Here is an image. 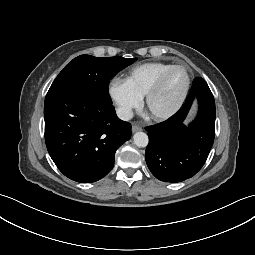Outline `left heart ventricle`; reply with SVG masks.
Wrapping results in <instances>:
<instances>
[{"mask_svg":"<svg viewBox=\"0 0 255 255\" xmlns=\"http://www.w3.org/2000/svg\"><path fill=\"white\" fill-rule=\"evenodd\" d=\"M186 83V72L183 69L174 70L166 79L160 92L152 99L151 110L163 113L171 109L182 95Z\"/></svg>","mask_w":255,"mask_h":255,"instance_id":"b2bd125f","label":"left heart ventricle"}]
</instances>
